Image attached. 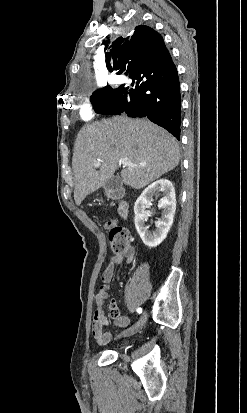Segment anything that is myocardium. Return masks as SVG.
<instances>
[{"mask_svg": "<svg viewBox=\"0 0 247 413\" xmlns=\"http://www.w3.org/2000/svg\"><path fill=\"white\" fill-rule=\"evenodd\" d=\"M122 121H138V120H122Z\"/></svg>", "mask_w": 247, "mask_h": 413, "instance_id": "obj_1", "label": "myocardium"}]
</instances>
